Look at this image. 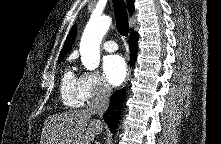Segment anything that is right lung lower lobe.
<instances>
[{
    "label": "right lung lower lobe",
    "mask_w": 221,
    "mask_h": 144,
    "mask_svg": "<svg viewBox=\"0 0 221 144\" xmlns=\"http://www.w3.org/2000/svg\"><path fill=\"white\" fill-rule=\"evenodd\" d=\"M138 49V35L136 32H133L131 34L130 38V63L131 66L134 65L136 61V54ZM125 91L124 89L120 91H116L111 99L109 108L104 113V120L107 123V125L110 127V130L112 132L116 131L117 124H118V118L121 113V108L123 105V101L125 99Z\"/></svg>",
    "instance_id": "right-lung-lower-lobe-1"
}]
</instances>
